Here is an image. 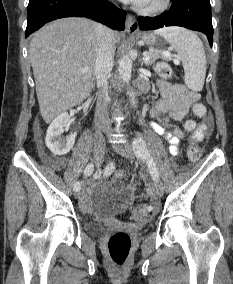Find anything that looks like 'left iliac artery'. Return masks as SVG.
Masks as SVG:
<instances>
[{"mask_svg":"<svg viewBox=\"0 0 233 284\" xmlns=\"http://www.w3.org/2000/svg\"><path fill=\"white\" fill-rule=\"evenodd\" d=\"M133 148L136 155L143 158L148 164V168L153 180L155 182H159V174L155 162L153 161V158L146 147L145 141L141 137L135 138L133 141Z\"/></svg>","mask_w":233,"mask_h":284,"instance_id":"1","label":"left iliac artery"}]
</instances>
